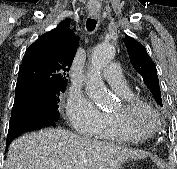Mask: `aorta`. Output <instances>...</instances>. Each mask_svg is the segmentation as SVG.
<instances>
[{
	"label": "aorta",
	"mask_w": 177,
	"mask_h": 169,
	"mask_svg": "<svg viewBox=\"0 0 177 169\" xmlns=\"http://www.w3.org/2000/svg\"><path fill=\"white\" fill-rule=\"evenodd\" d=\"M114 56L115 48L107 43L97 45L91 55V66L85 90L88 97L99 106H107L111 102L100 72L113 60Z\"/></svg>",
	"instance_id": "aorta-1"
}]
</instances>
